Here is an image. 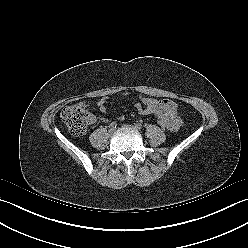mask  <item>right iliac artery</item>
<instances>
[{
	"instance_id": "82829eb1",
	"label": "right iliac artery",
	"mask_w": 248,
	"mask_h": 248,
	"mask_svg": "<svg viewBox=\"0 0 248 248\" xmlns=\"http://www.w3.org/2000/svg\"><path fill=\"white\" fill-rule=\"evenodd\" d=\"M117 125H118L117 122H116V121H113V122L110 124L109 127H110L111 129H115V128L117 127Z\"/></svg>"
}]
</instances>
